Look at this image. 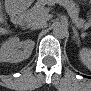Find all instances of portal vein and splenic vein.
<instances>
[{
    "label": "portal vein and splenic vein",
    "instance_id": "portal-vein-and-splenic-vein-1",
    "mask_svg": "<svg viewBox=\"0 0 91 91\" xmlns=\"http://www.w3.org/2000/svg\"><path fill=\"white\" fill-rule=\"evenodd\" d=\"M77 26L80 28V24L79 23H77Z\"/></svg>",
    "mask_w": 91,
    "mask_h": 91
}]
</instances>
